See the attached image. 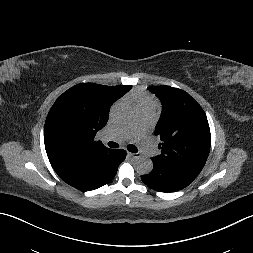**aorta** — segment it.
Wrapping results in <instances>:
<instances>
[{"instance_id":"762f6f07","label":"aorta","mask_w":253,"mask_h":253,"mask_svg":"<svg viewBox=\"0 0 253 253\" xmlns=\"http://www.w3.org/2000/svg\"><path fill=\"white\" fill-rule=\"evenodd\" d=\"M134 109L129 103L117 104L112 112V116L117 123H126L132 119ZM153 169V162L146 157H140L135 161V170L141 175L149 174Z\"/></svg>"}]
</instances>
